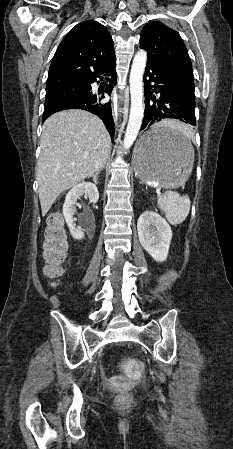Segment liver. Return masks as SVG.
Listing matches in <instances>:
<instances>
[{"label": "liver", "instance_id": "liver-1", "mask_svg": "<svg viewBox=\"0 0 233 449\" xmlns=\"http://www.w3.org/2000/svg\"><path fill=\"white\" fill-rule=\"evenodd\" d=\"M181 128L177 121H163ZM110 137L95 115L78 109L51 115L43 124L41 153L36 165L42 215L56 198L101 169Z\"/></svg>", "mask_w": 233, "mask_h": 449}]
</instances>
